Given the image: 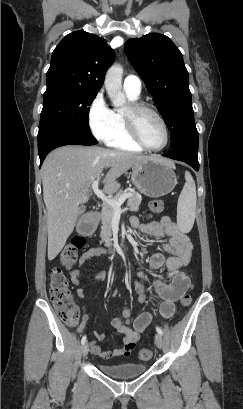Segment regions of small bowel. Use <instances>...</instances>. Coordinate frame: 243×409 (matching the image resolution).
<instances>
[{"label":"small bowel","mask_w":243,"mask_h":409,"mask_svg":"<svg viewBox=\"0 0 243 409\" xmlns=\"http://www.w3.org/2000/svg\"><path fill=\"white\" fill-rule=\"evenodd\" d=\"M131 225L134 229H137L140 233L146 236H154L156 238H163L165 235L168 240L163 244L165 252L168 254L166 257L163 253L157 252L151 255L149 258V266L153 271H157L164 265L167 269L168 281L165 282L160 278H156L154 281V287L161 298L162 302L159 304L160 314L164 318H170L175 311V302L178 301L184 292L190 285V279L182 270L187 266L192 257V243L189 237L182 232L177 224L169 217L162 216L158 220H147L143 223H139L134 217L131 219ZM104 253L103 248L94 247L86 250L79 258V267L85 265L91 259L97 258ZM82 272L80 268L73 269L70 272V279L74 285H81ZM139 280L135 283V289L139 293V301L145 300V274L139 271ZM106 279L105 272H99L95 275L94 280L97 282H103ZM85 295V289L79 287L76 290V296L83 298ZM132 318V311L130 308H124L121 311V316L115 317L112 321V325L115 330L124 335L123 345L120 348L113 350H102L96 343L90 344V349L94 355L101 357L102 359H113L117 357H127L135 348V343L139 340L140 334L145 331L152 320V315L149 312H141L134 320L133 328H130ZM90 319L87 314H84L80 331L89 323ZM97 340L101 341L105 338V335L101 332L95 333Z\"/></svg>","instance_id":"c3829d8e"}]
</instances>
